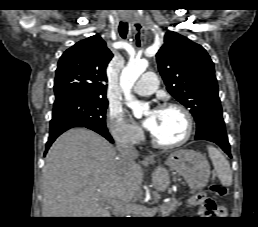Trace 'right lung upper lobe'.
<instances>
[{
  "mask_svg": "<svg viewBox=\"0 0 258 227\" xmlns=\"http://www.w3.org/2000/svg\"><path fill=\"white\" fill-rule=\"evenodd\" d=\"M112 57V52L98 35L67 49L58 62L55 95L73 92L106 98V67Z\"/></svg>",
  "mask_w": 258,
  "mask_h": 227,
  "instance_id": "obj_1",
  "label": "right lung upper lobe"
}]
</instances>
